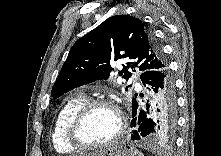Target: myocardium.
I'll return each mask as SVG.
<instances>
[{
	"label": "myocardium",
	"instance_id": "myocardium-1",
	"mask_svg": "<svg viewBox=\"0 0 221 156\" xmlns=\"http://www.w3.org/2000/svg\"><path fill=\"white\" fill-rule=\"evenodd\" d=\"M108 107L112 109L118 117V129L116 133L106 142L100 144H89L84 142L79 136V130L88 114L98 108ZM126 130V122L120 108L109 99H92L81 105L71 116L66 127V139L70 145L76 149L97 150L114 145L123 136Z\"/></svg>",
	"mask_w": 221,
	"mask_h": 156
}]
</instances>
